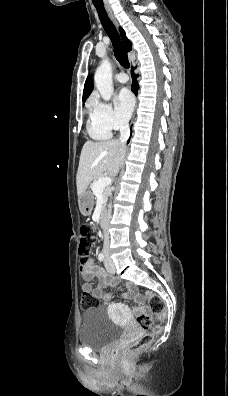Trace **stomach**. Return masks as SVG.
<instances>
[{
	"label": "stomach",
	"mask_w": 228,
	"mask_h": 396,
	"mask_svg": "<svg viewBox=\"0 0 228 396\" xmlns=\"http://www.w3.org/2000/svg\"><path fill=\"white\" fill-rule=\"evenodd\" d=\"M79 209L82 215L89 216L94 205V196L90 191H85L81 194L78 200Z\"/></svg>",
	"instance_id": "stomach-1"
}]
</instances>
